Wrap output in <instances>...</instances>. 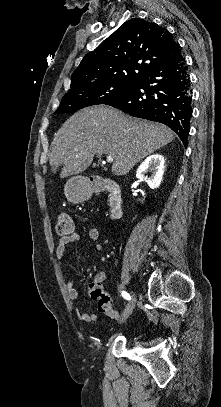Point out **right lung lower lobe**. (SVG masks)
Here are the masks:
<instances>
[{"instance_id": "right-lung-lower-lobe-1", "label": "right lung lower lobe", "mask_w": 221, "mask_h": 407, "mask_svg": "<svg viewBox=\"0 0 221 407\" xmlns=\"http://www.w3.org/2000/svg\"><path fill=\"white\" fill-rule=\"evenodd\" d=\"M188 68L180 47L148 70L127 94L106 105L131 116L163 123L187 146L192 116Z\"/></svg>"}]
</instances>
